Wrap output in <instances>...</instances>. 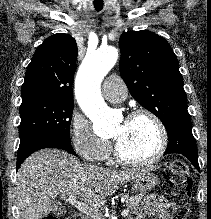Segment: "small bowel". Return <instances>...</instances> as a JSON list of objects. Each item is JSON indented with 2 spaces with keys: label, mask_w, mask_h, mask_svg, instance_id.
Listing matches in <instances>:
<instances>
[{
  "label": "small bowel",
  "mask_w": 211,
  "mask_h": 219,
  "mask_svg": "<svg viewBox=\"0 0 211 219\" xmlns=\"http://www.w3.org/2000/svg\"><path fill=\"white\" fill-rule=\"evenodd\" d=\"M143 216L154 219H171L165 198L158 195L150 196L140 208L132 213L131 219H141Z\"/></svg>",
  "instance_id": "small-bowel-1"
}]
</instances>
